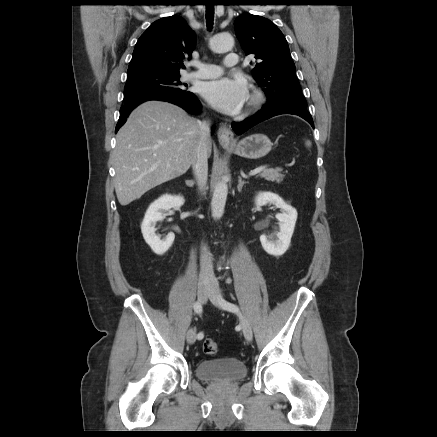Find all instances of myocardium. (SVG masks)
Returning <instances> with one entry per match:
<instances>
[{
  "mask_svg": "<svg viewBox=\"0 0 437 437\" xmlns=\"http://www.w3.org/2000/svg\"><path fill=\"white\" fill-rule=\"evenodd\" d=\"M264 102V95L259 90H253L249 96L246 112L250 113L256 111Z\"/></svg>",
  "mask_w": 437,
  "mask_h": 437,
  "instance_id": "f54148a6",
  "label": "myocardium"
}]
</instances>
